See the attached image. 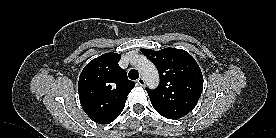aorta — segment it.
Wrapping results in <instances>:
<instances>
[{"label": "aorta", "mask_w": 276, "mask_h": 138, "mask_svg": "<svg viewBox=\"0 0 276 138\" xmlns=\"http://www.w3.org/2000/svg\"><path fill=\"white\" fill-rule=\"evenodd\" d=\"M136 67L144 78L147 86L155 89L159 84V74L155 65L144 56H138Z\"/></svg>", "instance_id": "aorta-1"}]
</instances>
